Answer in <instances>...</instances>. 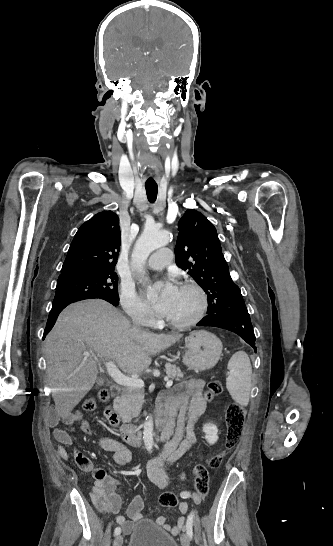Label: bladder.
Wrapping results in <instances>:
<instances>
[{"instance_id": "bladder-1", "label": "bladder", "mask_w": 333, "mask_h": 546, "mask_svg": "<svg viewBox=\"0 0 333 546\" xmlns=\"http://www.w3.org/2000/svg\"><path fill=\"white\" fill-rule=\"evenodd\" d=\"M127 546H179L176 539L149 520H142L133 527Z\"/></svg>"}]
</instances>
